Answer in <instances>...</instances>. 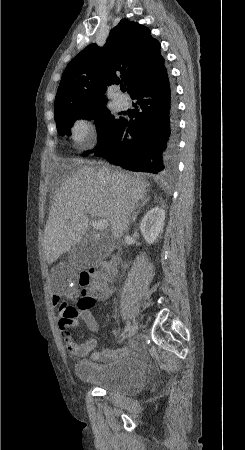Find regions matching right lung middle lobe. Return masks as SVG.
<instances>
[{
  "instance_id": "1",
  "label": "right lung middle lobe",
  "mask_w": 245,
  "mask_h": 450,
  "mask_svg": "<svg viewBox=\"0 0 245 450\" xmlns=\"http://www.w3.org/2000/svg\"><path fill=\"white\" fill-rule=\"evenodd\" d=\"M95 118L101 131V143L97 151L104 149L112 141L119 126L121 118H115L105 105L98 106H81L78 104H62L55 107V120L58 132L70 134V128L76 119H93ZM86 154H82L85 156Z\"/></svg>"
}]
</instances>
